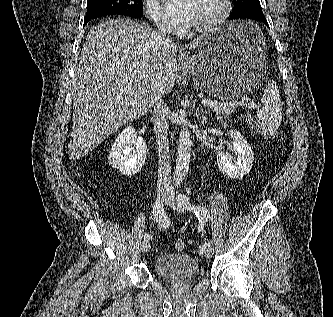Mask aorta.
Instances as JSON below:
<instances>
[{
    "label": "aorta",
    "mask_w": 333,
    "mask_h": 317,
    "mask_svg": "<svg viewBox=\"0 0 333 317\" xmlns=\"http://www.w3.org/2000/svg\"><path fill=\"white\" fill-rule=\"evenodd\" d=\"M191 157V140L188 128H183L179 135L174 181L179 184L186 177Z\"/></svg>",
    "instance_id": "aorta-1"
}]
</instances>
